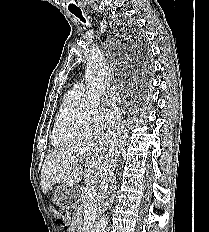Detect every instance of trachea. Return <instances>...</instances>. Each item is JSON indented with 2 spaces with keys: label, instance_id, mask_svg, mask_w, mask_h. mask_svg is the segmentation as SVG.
<instances>
[{
  "label": "trachea",
  "instance_id": "trachea-1",
  "mask_svg": "<svg viewBox=\"0 0 209 232\" xmlns=\"http://www.w3.org/2000/svg\"><path fill=\"white\" fill-rule=\"evenodd\" d=\"M76 17H78L81 21H83L84 23L86 22L85 21V18L82 16V12L81 11H76V12H72Z\"/></svg>",
  "mask_w": 209,
  "mask_h": 232
}]
</instances>
